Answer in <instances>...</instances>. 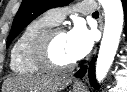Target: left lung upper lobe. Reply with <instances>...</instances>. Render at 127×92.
Masks as SVG:
<instances>
[{
	"label": "left lung upper lobe",
	"mask_w": 127,
	"mask_h": 92,
	"mask_svg": "<svg viewBox=\"0 0 127 92\" xmlns=\"http://www.w3.org/2000/svg\"><path fill=\"white\" fill-rule=\"evenodd\" d=\"M72 0H23L12 24L7 40V48L19 33L36 17L46 10L65 6Z\"/></svg>",
	"instance_id": "left-lung-upper-lobe-1"
}]
</instances>
